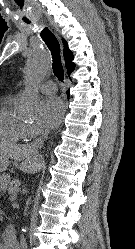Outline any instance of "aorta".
<instances>
[{"mask_svg":"<svg viewBox=\"0 0 135 249\" xmlns=\"http://www.w3.org/2000/svg\"><path fill=\"white\" fill-rule=\"evenodd\" d=\"M50 57L44 50H35L27 59L24 75L28 87L20 96V106L23 111L35 116L39 110V97L35 85L40 83L50 69Z\"/></svg>","mask_w":135,"mask_h":249,"instance_id":"762f6f07","label":"aorta"}]
</instances>
